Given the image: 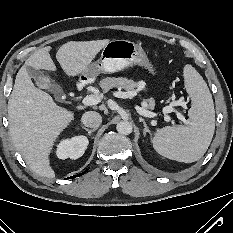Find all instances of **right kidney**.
<instances>
[{
	"instance_id": "ca27d5eb",
	"label": "right kidney",
	"mask_w": 233,
	"mask_h": 233,
	"mask_svg": "<svg viewBox=\"0 0 233 233\" xmlns=\"http://www.w3.org/2000/svg\"><path fill=\"white\" fill-rule=\"evenodd\" d=\"M88 143L86 136H75L71 139L63 140L57 146V157L59 159H78L84 154Z\"/></svg>"
}]
</instances>
